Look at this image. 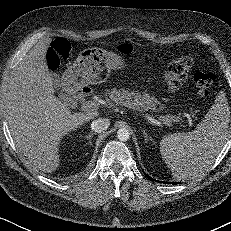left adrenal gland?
Returning a JSON list of instances; mask_svg holds the SVG:
<instances>
[{
	"label": "left adrenal gland",
	"mask_w": 231,
	"mask_h": 231,
	"mask_svg": "<svg viewBox=\"0 0 231 231\" xmlns=\"http://www.w3.org/2000/svg\"><path fill=\"white\" fill-rule=\"evenodd\" d=\"M142 133L144 136L145 143H147L148 141H153L152 137L148 136V134L146 133V131L144 129H142Z\"/></svg>",
	"instance_id": "a2214340"
}]
</instances>
